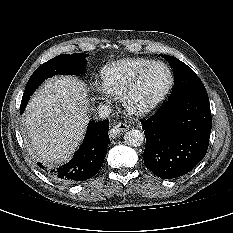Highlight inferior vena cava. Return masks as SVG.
<instances>
[{
  "mask_svg": "<svg viewBox=\"0 0 233 233\" xmlns=\"http://www.w3.org/2000/svg\"><path fill=\"white\" fill-rule=\"evenodd\" d=\"M97 111L101 119L109 117L112 112L111 108L104 104L99 105Z\"/></svg>",
  "mask_w": 233,
  "mask_h": 233,
  "instance_id": "1",
  "label": "inferior vena cava"
}]
</instances>
